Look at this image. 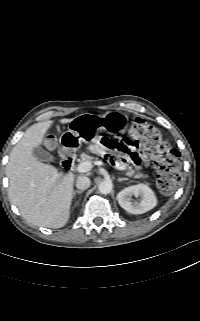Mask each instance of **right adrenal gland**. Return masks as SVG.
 <instances>
[{
	"label": "right adrenal gland",
	"instance_id": "2a0ac1e0",
	"mask_svg": "<svg viewBox=\"0 0 200 321\" xmlns=\"http://www.w3.org/2000/svg\"><path fill=\"white\" fill-rule=\"evenodd\" d=\"M83 192H84V190H76V191L73 192V197H75L76 194H82ZM80 200H81V198H80ZM80 200L75 204V206L79 205Z\"/></svg>",
	"mask_w": 200,
	"mask_h": 321
}]
</instances>
